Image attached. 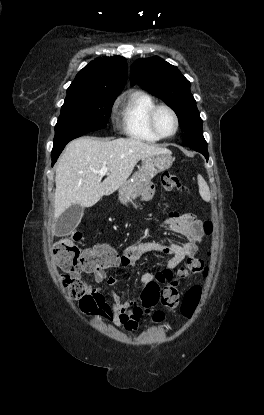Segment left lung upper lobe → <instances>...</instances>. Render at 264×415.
<instances>
[{
  "label": "left lung upper lobe",
  "mask_w": 264,
  "mask_h": 415,
  "mask_svg": "<svg viewBox=\"0 0 264 415\" xmlns=\"http://www.w3.org/2000/svg\"><path fill=\"white\" fill-rule=\"evenodd\" d=\"M130 82L162 99L175 111L184 132L183 143L206 142L190 82L176 66L159 57L139 59L131 66Z\"/></svg>",
  "instance_id": "obj_1"
}]
</instances>
